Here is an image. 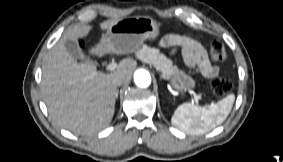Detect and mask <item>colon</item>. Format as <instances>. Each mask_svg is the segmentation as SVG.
Segmentation results:
<instances>
[{
  "instance_id": "1",
  "label": "colon",
  "mask_w": 283,
  "mask_h": 162,
  "mask_svg": "<svg viewBox=\"0 0 283 162\" xmlns=\"http://www.w3.org/2000/svg\"><path fill=\"white\" fill-rule=\"evenodd\" d=\"M210 56L214 61L226 60L227 51L219 40H213L211 42ZM211 88L215 96L224 97L231 92L233 84L228 78L219 77L212 81Z\"/></svg>"
}]
</instances>
